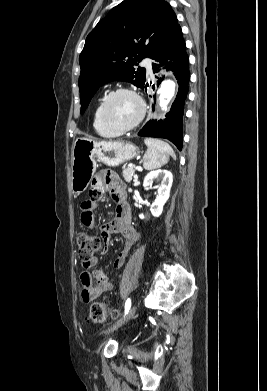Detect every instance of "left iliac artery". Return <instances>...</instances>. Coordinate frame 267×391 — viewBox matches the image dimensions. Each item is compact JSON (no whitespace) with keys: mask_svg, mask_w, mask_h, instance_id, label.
Segmentation results:
<instances>
[{"mask_svg":"<svg viewBox=\"0 0 267 391\" xmlns=\"http://www.w3.org/2000/svg\"><path fill=\"white\" fill-rule=\"evenodd\" d=\"M130 307H131V300L128 298L126 303H125V315L129 312Z\"/></svg>","mask_w":267,"mask_h":391,"instance_id":"1","label":"left iliac artery"}]
</instances>
